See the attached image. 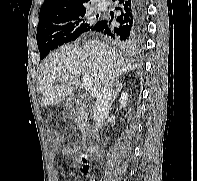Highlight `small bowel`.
I'll return each instance as SVG.
<instances>
[{
  "mask_svg": "<svg viewBox=\"0 0 197 181\" xmlns=\"http://www.w3.org/2000/svg\"><path fill=\"white\" fill-rule=\"evenodd\" d=\"M74 151H75V149L72 148V147H65V148L62 149L63 155H70V154H72ZM55 158H56V155H55L54 153H52V154H51V160H52V161H55ZM76 162H77V163H80V158H76ZM55 175H58V173L55 172Z\"/></svg>",
  "mask_w": 197,
  "mask_h": 181,
  "instance_id": "small-bowel-1",
  "label": "small bowel"
}]
</instances>
